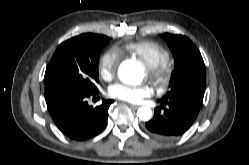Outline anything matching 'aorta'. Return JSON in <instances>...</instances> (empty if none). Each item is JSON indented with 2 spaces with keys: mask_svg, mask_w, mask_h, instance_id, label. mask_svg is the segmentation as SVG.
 Wrapping results in <instances>:
<instances>
[{
  "mask_svg": "<svg viewBox=\"0 0 249 165\" xmlns=\"http://www.w3.org/2000/svg\"><path fill=\"white\" fill-rule=\"evenodd\" d=\"M143 73V66L131 60L121 63L118 69L119 78L128 84H139L143 79ZM137 116L142 121H148L152 117V110L149 107H140Z\"/></svg>",
  "mask_w": 249,
  "mask_h": 165,
  "instance_id": "aorta-1",
  "label": "aorta"
}]
</instances>
